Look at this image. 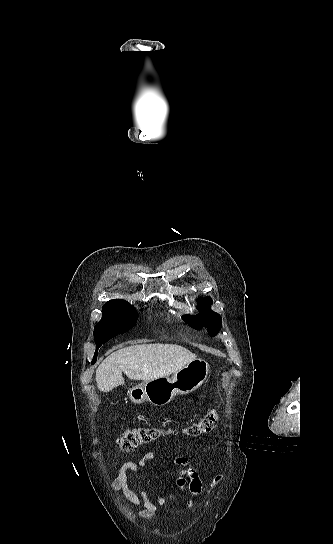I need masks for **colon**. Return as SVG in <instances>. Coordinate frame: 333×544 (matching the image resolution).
I'll return each mask as SVG.
<instances>
[{
	"label": "colon",
	"mask_w": 333,
	"mask_h": 544,
	"mask_svg": "<svg viewBox=\"0 0 333 544\" xmlns=\"http://www.w3.org/2000/svg\"><path fill=\"white\" fill-rule=\"evenodd\" d=\"M219 415L212 410L203 415L198 420L190 423L185 429L184 434L189 436H200L210 433L214 430ZM165 432L157 427L135 426L127 429L118 439V444L123 452H132L139 446L151 443L157 440Z\"/></svg>",
	"instance_id": "1"
}]
</instances>
